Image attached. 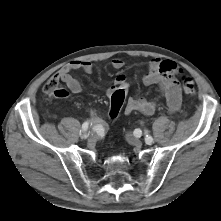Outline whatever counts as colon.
Returning <instances> with one entry per match:
<instances>
[{"label": "colon", "instance_id": "obj_1", "mask_svg": "<svg viewBox=\"0 0 221 221\" xmlns=\"http://www.w3.org/2000/svg\"><path fill=\"white\" fill-rule=\"evenodd\" d=\"M182 81V86L184 92L189 96L195 95V84L194 81L182 74L180 76ZM43 92L47 96L55 98H65L69 93L59 86V81L55 77H51L43 86ZM126 90L124 88L115 89L110 95V109H109V118L111 121H114L119 116L120 110L125 102Z\"/></svg>", "mask_w": 221, "mask_h": 221}]
</instances>
